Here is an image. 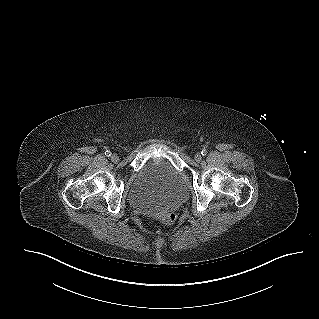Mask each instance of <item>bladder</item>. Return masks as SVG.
Segmentation results:
<instances>
[{
	"mask_svg": "<svg viewBox=\"0 0 319 319\" xmlns=\"http://www.w3.org/2000/svg\"><path fill=\"white\" fill-rule=\"evenodd\" d=\"M187 196L181 173L168 161L153 159L137 172L128 192L129 204L138 210H163Z\"/></svg>",
	"mask_w": 319,
	"mask_h": 319,
	"instance_id": "obj_1",
	"label": "bladder"
}]
</instances>
